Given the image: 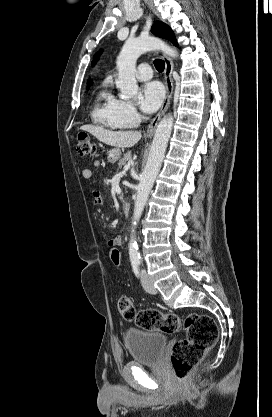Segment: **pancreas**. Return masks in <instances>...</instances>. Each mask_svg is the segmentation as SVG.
Returning <instances> with one entry per match:
<instances>
[{
  "instance_id": "obj_1",
  "label": "pancreas",
  "mask_w": 272,
  "mask_h": 417,
  "mask_svg": "<svg viewBox=\"0 0 272 417\" xmlns=\"http://www.w3.org/2000/svg\"><path fill=\"white\" fill-rule=\"evenodd\" d=\"M131 159V154L130 153H126L124 155V157L122 159L119 160L118 163V168H122V166H124L126 164L127 161H129Z\"/></svg>"
}]
</instances>
